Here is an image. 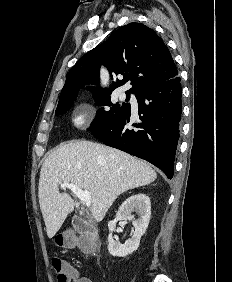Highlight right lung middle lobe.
Masks as SVG:
<instances>
[{
    "instance_id": "1",
    "label": "right lung middle lobe",
    "mask_w": 232,
    "mask_h": 282,
    "mask_svg": "<svg viewBox=\"0 0 232 282\" xmlns=\"http://www.w3.org/2000/svg\"><path fill=\"white\" fill-rule=\"evenodd\" d=\"M127 101L130 98L129 93L127 92ZM94 99L100 106H107L105 109L100 108L97 113L96 117L89 128V130H96L101 128L102 126L109 123L111 120L119 117L120 115L124 114L126 111L129 110L130 104L129 103H122V104H112L110 101L109 93L107 92H96L93 93ZM77 94L59 100L58 106L56 109V115H60L65 113L68 109L71 108Z\"/></svg>"
}]
</instances>
